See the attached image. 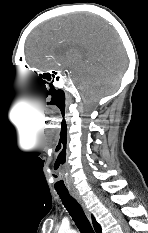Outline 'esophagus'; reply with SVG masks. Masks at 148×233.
Listing matches in <instances>:
<instances>
[{"mask_svg": "<svg viewBox=\"0 0 148 233\" xmlns=\"http://www.w3.org/2000/svg\"><path fill=\"white\" fill-rule=\"evenodd\" d=\"M71 195L77 200V202L81 205L84 213L86 214L87 217H90L89 211L81 197V195L78 193V191H70Z\"/></svg>", "mask_w": 148, "mask_h": 233, "instance_id": "esophagus-1", "label": "esophagus"}]
</instances>
